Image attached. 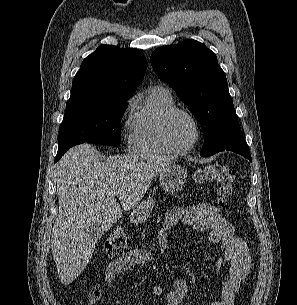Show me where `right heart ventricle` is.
<instances>
[{
	"mask_svg": "<svg viewBox=\"0 0 297 305\" xmlns=\"http://www.w3.org/2000/svg\"><path fill=\"white\" fill-rule=\"evenodd\" d=\"M176 107L171 92L162 86L153 87L136 110L131 124L129 146L131 151L141 154H166L170 151L159 136L162 115Z\"/></svg>",
	"mask_w": 297,
	"mask_h": 305,
	"instance_id": "e07e8e85",
	"label": "right heart ventricle"
}]
</instances>
